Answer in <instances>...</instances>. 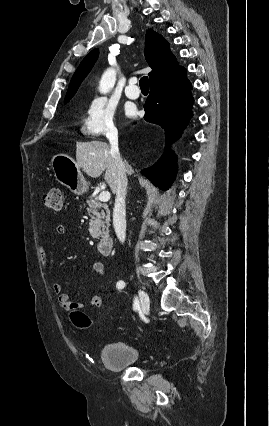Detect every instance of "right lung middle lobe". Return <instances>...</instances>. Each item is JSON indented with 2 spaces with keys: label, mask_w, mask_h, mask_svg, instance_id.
Wrapping results in <instances>:
<instances>
[{
  "label": "right lung middle lobe",
  "mask_w": 269,
  "mask_h": 426,
  "mask_svg": "<svg viewBox=\"0 0 269 426\" xmlns=\"http://www.w3.org/2000/svg\"><path fill=\"white\" fill-rule=\"evenodd\" d=\"M70 99H71V97L66 98V99H65V103H67Z\"/></svg>",
  "instance_id": "1"
}]
</instances>
